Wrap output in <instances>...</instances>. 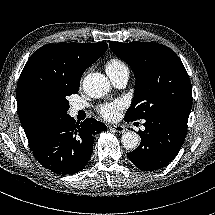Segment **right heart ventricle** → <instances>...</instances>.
Segmentation results:
<instances>
[{
	"mask_svg": "<svg viewBox=\"0 0 215 215\" xmlns=\"http://www.w3.org/2000/svg\"><path fill=\"white\" fill-rule=\"evenodd\" d=\"M105 69L108 75L112 78L122 71H129L128 66L118 58H112L105 64Z\"/></svg>",
	"mask_w": 215,
	"mask_h": 215,
	"instance_id": "obj_1",
	"label": "right heart ventricle"
}]
</instances>
